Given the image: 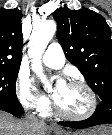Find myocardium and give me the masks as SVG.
Segmentation results:
<instances>
[{
  "instance_id": "f54148a6",
  "label": "myocardium",
  "mask_w": 112,
  "mask_h": 135,
  "mask_svg": "<svg viewBox=\"0 0 112 135\" xmlns=\"http://www.w3.org/2000/svg\"><path fill=\"white\" fill-rule=\"evenodd\" d=\"M68 84L77 85V86L84 88V90L87 93L88 100H89L88 109L84 113H81V114H72V113L66 112L63 109H61L60 106L55 101V99H53L52 100L53 111L58 116L68 119V120H72V121H83V120L89 119L90 117H92L94 115V113L96 112V109H97V98H96L95 92L89 86V84L83 80L73 79V80L69 81Z\"/></svg>"
}]
</instances>
